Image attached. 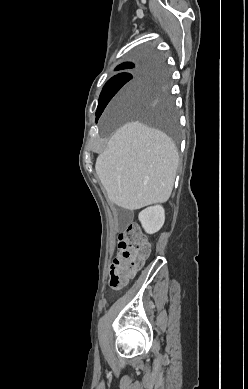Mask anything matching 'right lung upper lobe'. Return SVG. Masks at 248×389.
<instances>
[{"mask_svg": "<svg viewBox=\"0 0 248 389\" xmlns=\"http://www.w3.org/2000/svg\"><path fill=\"white\" fill-rule=\"evenodd\" d=\"M150 57H151L152 59H154V58H158L159 56H158L157 54H151ZM130 65H132V63H123V64L119 65V66L116 68V70H119V69H121V68L130 66ZM152 67H153V66H152Z\"/></svg>", "mask_w": 248, "mask_h": 389, "instance_id": "cb5924a9", "label": "right lung upper lobe"}]
</instances>
